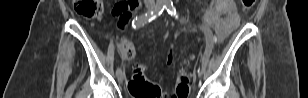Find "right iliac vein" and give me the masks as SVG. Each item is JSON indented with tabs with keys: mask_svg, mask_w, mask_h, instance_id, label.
I'll use <instances>...</instances> for the list:
<instances>
[{
	"mask_svg": "<svg viewBox=\"0 0 308 98\" xmlns=\"http://www.w3.org/2000/svg\"><path fill=\"white\" fill-rule=\"evenodd\" d=\"M150 9H151V7H148V10H150ZM124 78H125V73H124L123 71H120V73L117 74V79H118V81H119L120 83H122L123 80H124Z\"/></svg>",
	"mask_w": 308,
	"mask_h": 98,
	"instance_id": "right-iliac-vein-1",
	"label": "right iliac vein"
}]
</instances>
